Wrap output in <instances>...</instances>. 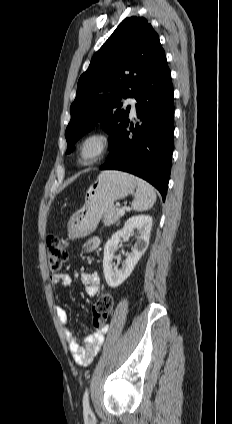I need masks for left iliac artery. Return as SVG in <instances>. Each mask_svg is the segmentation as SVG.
Segmentation results:
<instances>
[{"label":"left iliac artery","mask_w":232,"mask_h":424,"mask_svg":"<svg viewBox=\"0 0 232 424\" xmlns=\"http://www.w3.org/2000/svg\"><path fill=\"white\" fill-rule=\"evenodd\" d=\"M83 408H84V411H87V412L90 411L88 389H86L84 396H83Z\"/></svg>","instance_id":"obj_1"}]
</instances>
